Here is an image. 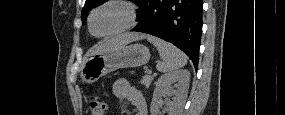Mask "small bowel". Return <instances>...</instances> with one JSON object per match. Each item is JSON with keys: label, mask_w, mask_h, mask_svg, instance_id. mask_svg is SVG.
Masks as SVG:
<instances>
[{"label": "small bowel", "mask_w": 285, "mask_h": 115, "mask_svg": "<svg viewBox=\"0 0 285 115\" xmlns=\"http://www.w3.org/2000/svg\"><path fill=\"white\" fill-rule=\"evenodd\" d=\"M112 91L116 97L129 102L135 108V115H147V103L143 93L129 81L116 79Z\"/></svg>", "instance_id": "1"}]
</instances>
